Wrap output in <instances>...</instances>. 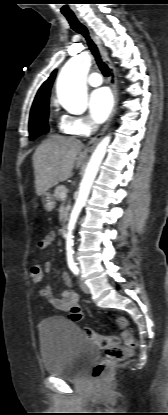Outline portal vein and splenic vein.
I'll return each instance as SVG.
<instances>
[{"label": "portal vein and splenic vein", "mask_w": 168, "mask_h": 415, "mask_svg": "<svg viewBox=\"0 0 168 415\" xmlns=\"http://www.w3.org/2000/svg\"><path fill=\"white\" fill-rule=\"evenodd\" d=\"M60 197H61L62 199L66 198V192H62V193L60 194Z\"/></svg>", "instance_id": "1"}]
</instances>
